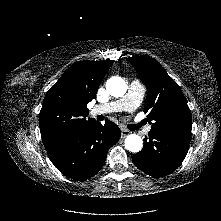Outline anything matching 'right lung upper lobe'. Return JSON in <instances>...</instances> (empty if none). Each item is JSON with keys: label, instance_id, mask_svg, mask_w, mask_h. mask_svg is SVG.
I'll list each match as a JSON object with an SVG mask.
<instances>
[{"label": "right lung upper lobe", "instance_id": "1", "mask_svg": "<svg viewBox=\"0 0 221 221\" xmlns=\"http://www.w3.org/2000/svg\"><path fill=\"white\" fill-rule=\"evenodd\" d=\"M112 60L79 61L72 64L46 93L39 116L42 141L47 152L66 143L84 126L87 104L96 92Z\"/></svg>", "mask_w": 221, "mask_h": 221}]
</instances>
